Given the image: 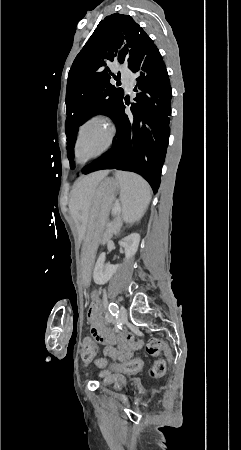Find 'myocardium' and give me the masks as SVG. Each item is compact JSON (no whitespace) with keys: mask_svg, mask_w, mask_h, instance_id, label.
I'll return each mask as SVG.
<instances>
[{"mask_svg":"<svg viewBox=\"0 0 241 450\" xmlns=\"http://www.w3.org/2000/svg\"><path fill=\"white\" fill-rule=\"evenodd\" d=\"M86 125H91V124H86ZM84 126H85L84 122H79V127H84ZM92 126L104 128V127H108L109 123L104 122V121L103 122H93ZM101 133L103 134V137L101 138V140L98 139V140H96V142H90L89 139L85 140V137L91 136V133L88 130L83 129V130H78L77 132H74L73 136L78 137L77 138L78 145L76 146V148L72 149L73 157H71V162H86L87 163L90 160L89 157L91 155V152H92L93 157H96V158L101 157L102 151H103L102 149H106V150L109 149L110 146L107 143L112 141V138L110 137V135H113L114 131L107 129V130H103ZM80 135H81V137H80ZM90 143H96V145H102V148L99 147V148L91 149L92 146L90 145ZM93 147H95V146H93ZM84 153H86L85 154L86 157H83Z\"/></svg>","mask_w":241,"mask_h":450,"instance_id":"myocardium-1","label":"myocardium"}]
</instances>
